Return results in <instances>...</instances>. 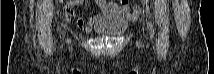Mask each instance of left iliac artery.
<instances>
[{
	"instance_id": "obj_1",
	"label": "left iliac artery",
	"mask_w": 214,
	"mask_h": 74,
	"mask_svg": "<svg viewBox=\"0 0 214 74\" xmlns=\"http://www.w3.org/2000/svg\"><path fill=\"white\" fill-rule=\"evenodd\" d=\"M147 27H148V29H149L150 37L152 38L153 35H154V30H153V28H152V24H151L150 21H147Z\"/></svg>"
}]
</instances>
